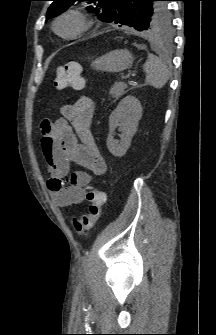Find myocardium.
I'll return each mask as SVG.
<instances>
[{
  "label": "myocardium",
  "instance_id": "myocardium-1",
  "mask_svg": "<svg viewBox=\"0 0 216 335\" xmlns=\"http://www.w3.org/2000/svg\"><path fill=\"white\" fill-rule=\"evenodd\" d=\"M66 18H72L76 20L78 23V28L70 34H62L58 30L59 23ZM91 26H92V21L86 13L78 9H71V10H67L63 12L56 18L53 24V29L56 32V34L59 35L60 37L70 40V39H76L80 37L85 32H87L91 28Z\"/></svg>",
  "mask_w": 216,
  "mask_h": 335
}]
</instances>
